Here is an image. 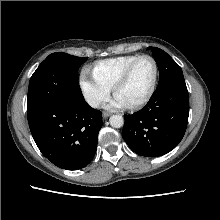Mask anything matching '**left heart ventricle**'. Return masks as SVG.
<instances>
[{
  "instance_id": "obj_1",
  "label": "left heart ventricle",
  "mask_w": 220,
  "mask_h": 220,
  "mask_svg": "<svg viewBox=\"0 0 220 220\" xmlns=\"http://www.w3.org/2000/svg\"><path fill=\"white\" fill-rule=\"evenodd\" d=\"M154 78V65L149 59L137 63L128 81L116 92L128 106L142 100L149 92Z\"/></svg>"
}]
</instances>
